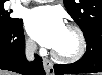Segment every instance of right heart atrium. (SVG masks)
<instances>
[{"label":"right heart atrium","instance_id":"right-heart-atrium-1","mask_svg":"<svg viewBox=\"0 0 102 75\" xmlns=\"http://www.w3.org/2000/svg\"><path fill=\"white\" fill-rule=\"evenodd\" d=\"M26 45H27V47L29 49H34L35 48L34 42L31 39H29V38L26 40Z\"/></svg>","mask_w":102,"mask_h":75}]
</instances>
